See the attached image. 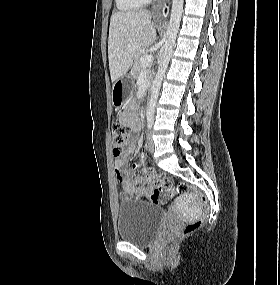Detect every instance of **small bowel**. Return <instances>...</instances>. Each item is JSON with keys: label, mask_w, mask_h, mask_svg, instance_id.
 <instances>
[{"label": "small bowel", "mask_w": 280, "mask_h": 285, "mask_svg": "<svg viewBox=\"0 0 280 285\" xmlns=\"http://www.w3.org/2000/svg\"><path fill=\"white\" fill-rule=\"evenodd\" d=\"M120 118L129 126V128L138 132L139 121L136 118H128L124 113L120 115ZM136 142L132 141L128 144L124 154L118 156L115 159V177L116 180L121 183L122 190L120 193L121 200H129L134 196L145 197L150 199L154 203H163L165 199L162 195L154 189L150 181L145 177H132L133 171L143 169L145 171L146 156L141 154L137 160L132 164L131 168L127 167L128 156L136 151Z\"/></svg>", "instance_id": "small-bowel-1"}]
</instances>
